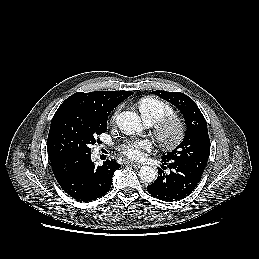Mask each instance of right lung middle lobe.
I'll use <instances>...</instances> for the list:
<instances>
[{"instance_id":"right-lung-middle-lobe-1","label":"right lung middle lobe","mask_w":259,"mask_h":259,"mask_svg":"<svg viewBox=\"0 0 259 259\" xmlns=\"http://www.w3.org/2000/svg\"><path fill=\"white\" fill-rule=\"evenodd\" d=\"M108 116L93 110L65 106L54 114L47 139L50 160L78 153H91L98 135L107 130Z\"/></svg>"}]
</instances>
